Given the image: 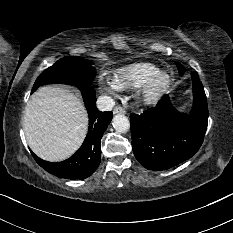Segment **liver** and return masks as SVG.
<instances>
[{
    "label": "liver",
    "mask_w": 233,
    "mask_h": 233,
    "mask_svg": "<svg viewBox=\"0 0 233 233\" xmlns=\"http://www.w3.org/2000/svg\"><path fill=\"white\" fill-rule=\"evenodd\" d=\"M24 133L32 151L57 162L74 154L88 130V115L82 100L72 90L40 87L29 99L23 118Z\"/></svg>",
    "instance_id": "6515ba94"
}]
</instances>
